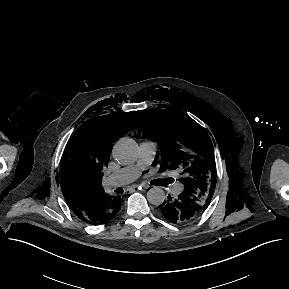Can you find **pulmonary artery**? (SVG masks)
<instances>
[{"label":"pulmonary artery","mask_w":289,"mask_h":289,"mask_svg":"<svg viewBox=\"0 0 289 289\" xmlns=\"http://www.w3.org/2000/svg\"><path fill=\"white\" fill-rule=\"evenodd\" d=\"M157 143L151 140L143 141L140 144L139 159L136 163L126 166L105 179L107 187H119L134 181L141 172L153 161L157 152ZM180 187H176L175 193Z\"/></svg>","instance_id":"obj_1"}]
</instances>
